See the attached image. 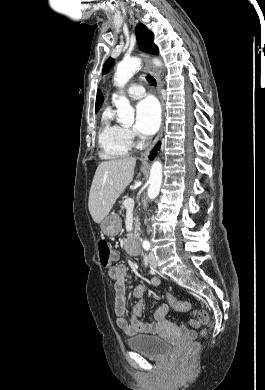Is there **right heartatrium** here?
<instances>
[{"label":"right heart atrium","mask_w":265,"mask_h":390,"mask_svg":"<svg viewBox=\"0 0 265 390\" xmlns=\"http://www.w3.org/2000/svg\"><path fill=\"white\" fill-rule=\"evenodd\" d=\"M126 135L130 141L131 144H136L137 143V134L135 133L134 130L127 128L126 129Z\"/></svg>","instance_id":"right-heart-atrium-1"}]
</instances>
